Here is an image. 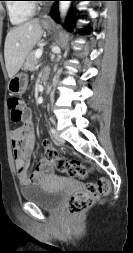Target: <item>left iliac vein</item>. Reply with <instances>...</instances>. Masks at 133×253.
I'll return each mask as SVG.
<instances>
[{
	"mask_svg": "<svg viewBox=\"0 0 133 253\" xmlns=\"http://www.w3.org/2000/svg\"><path fill=\"white\" fill-rule=\"evenodd\" d=\"M53 136H54V139L56 141H58L59 143H64L65 142V140L60 136L59 132L56 131Z\"/></svg>",
	"mask_w": 133,
	"mask_h": 253,
	"instance_id": "1",
	"label": "left iliac vein"
}]
</instances>
